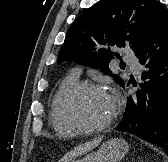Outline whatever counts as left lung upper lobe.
I'll list each match as a JSON object with an SVG mask.
<instances>
[{
  "mask_svg": "<svg viewBox=\"0 0 168 162\" xmlns=\"http://www.w3.org/2000/svg\"><path fill=\"white\" fill-rule=\"evenodd\" d=\"M167 14L157 0H102L71 25L57 62L74 61L110 73V61L119 57L114 49L128 45L135 53Z\"/></svg>",
  "mask_w": 168,
  "mask_h": 162,
  "instance_id": "left-lung-upper-lobe-1",
  "label": "left lung upper lobe"
}]
</instances>
